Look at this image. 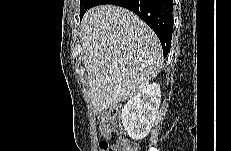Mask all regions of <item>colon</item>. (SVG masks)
Instances as JSON below:
<instances>
[{"label": "colon", "instance_id": "1", "mask_svg": "<svg viewBox=\"0 0 231 151\" xmlns=\"http://www.w3.org/2000/svg\"><path fill=\"white\" fill-rule=\"evenodd\" d=\"M118 118L119 112L117 109H109L99 114V127L105 138H108L111 132L117 127ZM99 151H136V145L127 138L120 137L114 143L102 141Z\"/></svg>", "mask_w": 231, "mask_h": 151}]
</instances>
